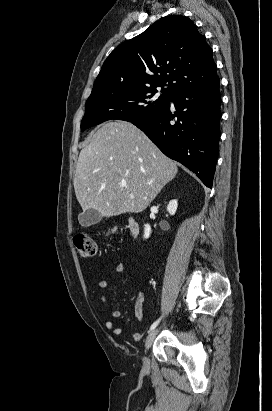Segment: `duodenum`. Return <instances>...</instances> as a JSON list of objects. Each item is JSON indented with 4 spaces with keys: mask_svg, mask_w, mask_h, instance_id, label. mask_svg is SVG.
<instances>
[{
    "mask_svg": "<svg viewBox=\"0 0 272 411\" xmlns=\"http://www.w3.org/2000/svg\"><path fill=\"white\" fill-rule=\"evenodd\" d=\"M128 228H129L130 233L133 236H137L140 232V225H139L138 221L135 220V219H130L129 220Z\"/></svg>",
    "mask_w": 272,
    "mask_h": 411,
    "instance_id": "obj_1",
    "label": "duodenum"
}]
</instances>
